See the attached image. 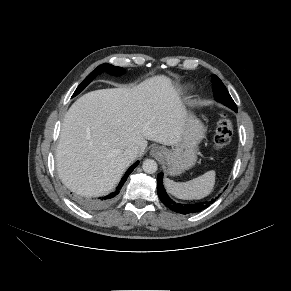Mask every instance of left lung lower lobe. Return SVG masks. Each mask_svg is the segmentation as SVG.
<instances>
[{"label":"left lung lower lobe","mask_w":291,"mask_h":291,"mask_svg":"<svg viewBox=\"0 0 291 291\" xmlns=\"http://www.w3.org/2000/svg\"><path fill=\"white\" fill-rule=\"evenodd\" d=\"M162 180H163V173L161 172L158 175V184H157V191H158L159 198L163 204H165L169 209L177 213L193 214V213L201 212L202 210L209 207L217 199L215 198L210 201H204V202L193 203V204L177 203L173 201L166 193Z\"/></svg>","instance_id":"0a47b994"}]
</instances>
